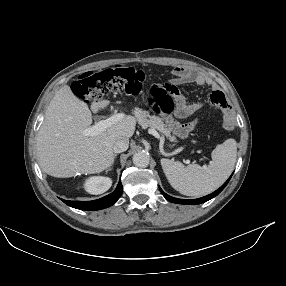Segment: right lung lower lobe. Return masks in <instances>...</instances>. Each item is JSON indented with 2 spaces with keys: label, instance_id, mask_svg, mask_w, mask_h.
<instances>
[{
  "label": "right lung lower lobe",
  "instance_id": "obj_1",
  "mask_svg": "<svg viewBox=\"0 0 286 286\" xmlns=\"http://www.w3.org/2000/svg\"><path fill=\"white\" fill-rule=\"evenodd\" d=\"M123 187L121 182L118 183L116 190L98 200L93 201H68L61 199L65 204L80 210H99L112 206L121 196Z\"/></svg>",
  "mask_w": 286,
  "mask_h": 286
}]
</instances>
